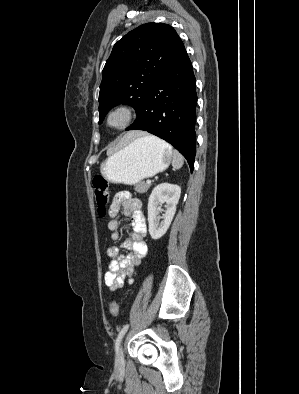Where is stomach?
I'll list each match as a JSON object with an SVG mask.
<instances>
[{"label": "stomach", "instance_id": "stomach-1", "mask_svg": "<svg viewBox=\"0 0 299 394\" xmlns=\"http://www.w3.org/2000/svg\"><path fill=\"white\" fill-rule=\"evenodd\" d=\"M172 161L170 149L148 136L134 139L109 155L101 164V173L114 183L135 185L165 170Z\"/></svg>", "mask_w": 299, "mask_h": 394}]
</instances>
